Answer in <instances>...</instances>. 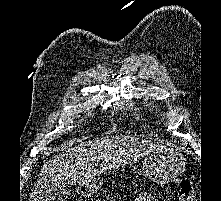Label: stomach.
<instances>
[{"instance_id":"0dacf381","label":"stomach","mask_w":221,"mask_h":201,"mask_svg":"<svg viewBox=\"0 0 221 201\" xmlns=\"http://www.w3.org/2000/svg\"><path fill=\"white\" fill-rule=\"evenodd\" d=\"M185 158L183 154L173 148H164L147 155L143 161V172L147 178L166 184L177 180L185 170ZM103 185L100 179H93L79 187L82 196L94 194Z\"/></svg>"}]
</instances>
